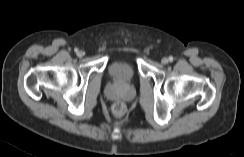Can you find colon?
<instances>
[{"label": "colon", "instance_id": "obj_1", "mask_svg": "<svg viewBox=\"0 0 244 157\" xmlns=\"http://www.w3.org/2000/svg\"><path fill=\"white\" fill-rule=\"evenodd\" d=\"M112 111L115 116L121 117L125 114L126 106L122 101H117L113 104Z\"/></svg>", "mask_w": 244, "mask_h": 157}]
</instances>
